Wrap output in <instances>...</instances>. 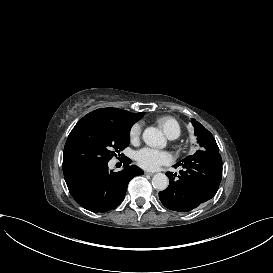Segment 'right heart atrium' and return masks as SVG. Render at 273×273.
Returning <instances> with one entry per match:
<instances>
[{"label":"right heart atrium","mask_w":273,"mask_h":273,"mask_svg":"<svg viewBox=\"0 0 273 273\" xmlns=\"http://www.w3.org/2000/svg\"><path fill=\"white\" fill-rule=\"evenodd\" d=\"M130 139L132 142H138L141 135V127L139 124H134L129 132Z\"/></svg>","instance_id":"d8ad5b80"}]
</instances>
